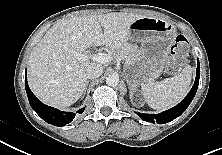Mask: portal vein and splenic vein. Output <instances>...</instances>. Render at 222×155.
Returning a JSON list of instances; mask_svg holds the SVG:
<instances>
[{
  "instance_id": "1",
  "label": "portal vein and splenic vein",
  "mask_w": 222,
  "mask_h": 155,
  "mask_svg": "<svg viewBox=\"0 0 222 155\" xmlns=\"http://www.w3.org/2000/svg\"><path fill=\"white\" fill-rule=\"evenodd\" d=\"M91 57L94 61L102 63V64H106L111 60V57L108 54H104V53H96V54H93ZM79 59L87 60L89 59V56L86 54H79Z\"/></svg>"
}]
</instances>
